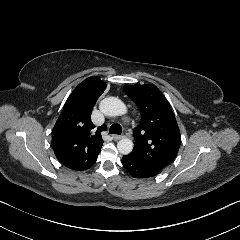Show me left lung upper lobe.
<instances>
[{"label":"left lung upper lobe","mask_w":240,"mask_h":240,"mask_svg":"<svg viewBox=\"0 0 240 240\" xmlns=\"http://www.w3.org/2000/svg\"><path fill=\"white\" fill-rule=\"evenodd\" d=\"M124 91L140 110L135 145L129 156L148 168L162 170L176 157L181 135L175 116L163 94L153 85H126Z\"/></svg>","instance_id":"5c2ea615"}]
</instances>
